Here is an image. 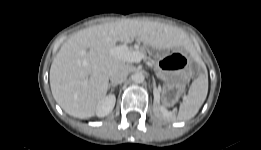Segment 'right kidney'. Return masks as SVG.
Segmentation results:
<instances>
[{"instance_id":"right-kidney-1","label":"right kidney","mask_w":261,"mask_h":150,"mask_svg":"<svg viewBox=\"0 0 261 150\" xmlns=\"http://www.w3.org/2000/svg\"><path fill=\"white\" fill-rule=\"evenodd\" d=\"M116 97L114 94H109L106 96L103 101L98 106V110L96 112V115L98 117H104L108 115L115 106Z\"/></svg>"}]
</instances>
